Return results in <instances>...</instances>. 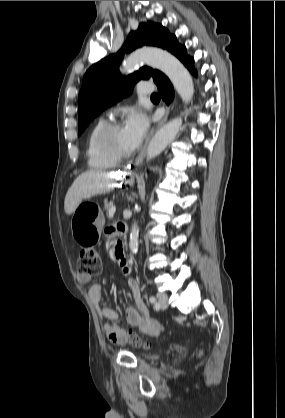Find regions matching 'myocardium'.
Listing matches in <instances>:
<instances>
[{
    "label": "myocardium",
    "instance_id": "1",
    "mask_svg": "<svg viewBox=\"0 0 285 418\" xmlns=\"http://www.w3.org/2000/svg\"><path fill=\"white\" fill-rule=\"evenodd\" d=\"M120 128H122V124L119 121L106 122L98 130L94 139L95 145L102 155L107 159L117 162L130 158L135 151V148L133 147L126 152H119L112 146V135Z\"/></svg>",
    "mask_w": 285,
    "mask_h": 418
}]
</instances>
